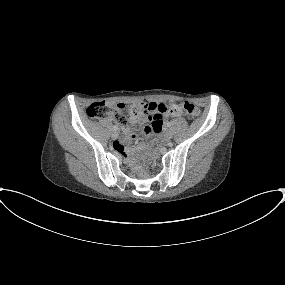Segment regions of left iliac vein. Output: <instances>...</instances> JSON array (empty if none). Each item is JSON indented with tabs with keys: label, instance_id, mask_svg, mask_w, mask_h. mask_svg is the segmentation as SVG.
Instances as JSON below:
<instances>
[{
	"label": "left iliac vein",
	"instance_id": "left-iliac-vein-1",
	"mask_svg": "<svg viewBox=\"0 0 285 285\" xmlns=\"http://www.w3.org/2000/svg\"><path fill=\"white\" fill-rule=\"evenodd\" d=\"M172 137H173V133L170 130L166 131L165 138L167 140H170V139H172Z\"/></svg>",
	"mask_w": 285,
	"mask_h": 285
}]
</instances>
